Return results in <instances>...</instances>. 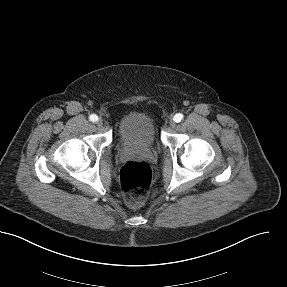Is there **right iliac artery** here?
<instances>
[{
  "instance_id": "right-iliac-artery-1",
  "label": "right iliac artery",
  "mask_w": 287,
  "mask_h": 287,
  "mask_svg": "<svg viewBox=\"0 0 287 287\" xmlns=\"http://www.w3.org/2000/svg\"><path fill=\"white\" fill-rule=\"evenodd\" d=\"M89 119L92 122H96L98 120V116L96 114H92V115H90Z\"/></svg>"
}]
</instances>
